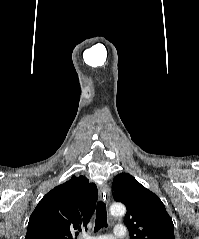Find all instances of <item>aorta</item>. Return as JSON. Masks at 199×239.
<instances>
[{
  "label": "aorta",
  "mask_w": 199,
  "mask_h": 239,
  "mask_svg": "<svg viewBox=\"0 0 199 239\" xmlns=\"http://www.w3.org/2000/svg\"><path fill=\"white\" fill-rule=\"evenodd\" d=\"M110 213L112 216H123L126 213V207L121 203H114L110 207Z\"/></svg>",
  "instance_id": "aorta-1"
}]
</instances>
